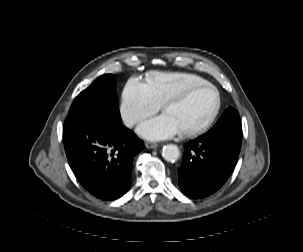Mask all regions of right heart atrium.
<instances>
[{
	"label": "right heart atrium",
	"mask_w": 303,
	"mask_h": 252,
	"mask_svg": "<svg viewBox=\"0 0 303 252\" xmlns=\"http://www.w3.org/2000/svg\"><path fill=\"white\" fill-rule=\"evenodd\" d=\"M160 105L149 95L145 83L136 77L128 80L119 104V113L127 127H133L157 112Z\"/></svg>",
	"instance_id": "right-heart-atrium-1"
}]
</instances>
